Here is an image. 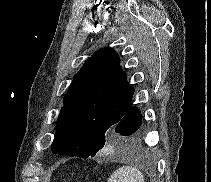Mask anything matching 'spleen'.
<instances>
[{"label": "spleen", "instance_id": "3e777b00", "mask_svg": "<svg viewBox=\"0 0 211 182\" xmlns=\"http://www.w3.org/2000/svg\"><path fill=\"white\" fill-rule=\"evenodd\" d=\"M107 182H144V176L136 167L123 166L114 171Z\"/></svg>", "mask_w": 211, "mask_h": 182}]
</instances>
